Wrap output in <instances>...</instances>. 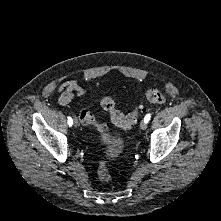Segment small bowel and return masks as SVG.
<instances>
[{"label":"small bowel","mask_w":221,"mask_h":221,"mask_svg":"<svg viewBox=\"0 0 221 221\" xmlns=\"http://www.w3.org/2000/svg\"><path fill=\"white\" fill-rule=\"evenodd\" d=\"M60 97L59 103L65 105L69 103L75 96H81L84 89L77 80H66L59 87Z\"/></svg>","instance_id":"c3829d8e"}]
</instances>
